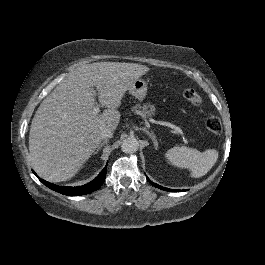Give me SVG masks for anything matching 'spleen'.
I'll use <instances>...</instances> for the list:
<instances>
[{
    "label": "spleen",
    "instance_id": "1",
    "mask_svg": "<svg viewBox=\"0 0 265 265\" xmlns=\"http://www.w3.org/2000/svg\"><path fill=\"white\" fill-rule=\"evenodd\" d=\"M167 157L175 165L193 168L194 177H202L215 165L218 153L215 150H207L202 154L189 147L176 146L168 150Z\"/></svg>",
    "mask_w": 265,
    "mask_h": 265
}]
</instances>
